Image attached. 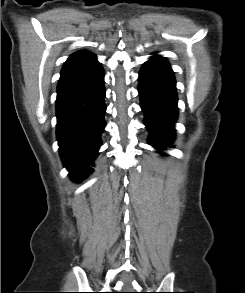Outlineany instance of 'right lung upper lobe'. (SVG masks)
<instances>
[{
	"mask_svg": "<svg viewBox=\"0 0 245 293\" xmlns=\"http://www.w3.org/2000/svg\"><path fill=\"white\" fill-rule=\"evenodd\" d=\"M99 66L96 56L91 52L79 51L72 54L61 71L58 88L90 74Z\"/></svg>",
	"mask_w": 245,
	"mask_h": 293,
	"instance_id": "1",
	"label": "right lung upper lobe"
}]
</instances>
